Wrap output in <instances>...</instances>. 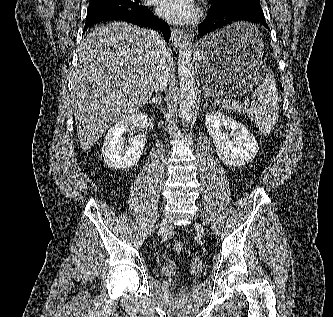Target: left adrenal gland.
<instances>
[{
	"label": "left adrenal gland",
	"instance_id": "a2214340",
	"mask_svg": "<svg viewBox=\"0 0 333 317\" xmlns=\"http://www.w3.org/2000/svg\"><path fill=\"white\" fill-rule=\"evenodd\" d=\"M208 106H209V105H208V100L205 99V103H204V105H203V108L208 107Z\"/></svg>",
	"mask_w": 333,
	"mask_h": 317
}]
</instances>
